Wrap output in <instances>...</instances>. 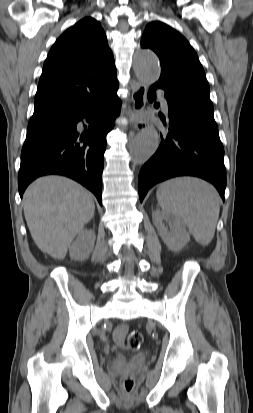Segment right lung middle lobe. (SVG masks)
I'll list each match as a JSON object with an SVG mask.
<instances>
[{
    "label": "right lung middle lobe",
    "mask_w": 253,
    "mask_h": 413,
    "mask_svg": "<svg viewBox=\"0 0 253 413\" xmlns=\"http://www.w3.org/2000/svg\"><path fill=\"white\" fill-rule=\"evenodd\" d=\"M61 114L62 113L31 117L29 124H28L27 133L38 131L54 123L60 117Z\"/></svg>",
    "instance_id": "obj_1"
}]
</instances>
